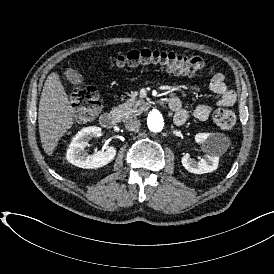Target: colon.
I'll list each match as a JSON object with an SVG mask.
<instances>
[{
	"instance_id": "5ec220e1",
	"label": "colon",
	"mask_w": 274,
	"mask_h": 274,
	"mask_svg": "<svg viewBox=\"0 0 274 274\" xmlns=\"http://www.w3.org/2000/svg\"><path fill=\"white\" fill-rule=\"evenodd\" d=\"M111 65L118 67L145 66L179 74H190L207 68V63L199 55L182 54L173 51L156 49H132L121 53L110 60ZM69 100L78 111V116L86 118L99 109L97 90L95 86L75 79L74 87L69 92ZM215 125L223 130L230 131L235 127L236 115L228 107H222L214 113Z\"/></svg>"
}]
</instances>
